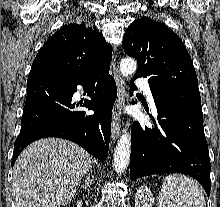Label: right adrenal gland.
I'll return each mask as SVG.
<instances>
[{"instance_id":"2a0ac1e0","label":"right adrenal gland","mask_w":220,"mask_h":207,"mask_svg":"<svg viewBox=\"0 0 220 207\" xmlns=\"http://www.w3.org/2000/svg\"><path fill=\"white\" fill-rule=\"evenodd\" d=\"M82 184V182H81ZM93 184V175H92V170L88 173L86 176V179L84 180V184H82L83 189L89 188Z\"/></svg>"}]
</instances>
